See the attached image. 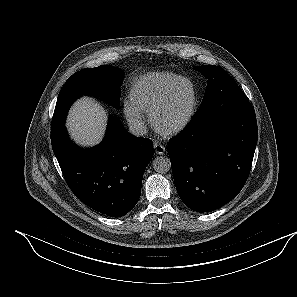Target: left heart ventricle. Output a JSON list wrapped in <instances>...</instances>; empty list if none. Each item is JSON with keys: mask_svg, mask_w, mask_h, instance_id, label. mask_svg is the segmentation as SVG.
<instances>
[{"mask_svg": "<svg viewBox=\"0 0 297 297\" xmlns=\"http://www.w3.org/2000/svg\"><path fill=\"white\" fill-rule=\"evenodd\" d=\"M190 102V88L187 83L177 87L168 106L160 113L158 123L161 127L176 124L186 113Z\"/></svg>", "mask_w": 297, "mask_h": 297, "instance_id": "left-heart-ventricle-1", "label": "left heart ventricle"}]
</instances>
